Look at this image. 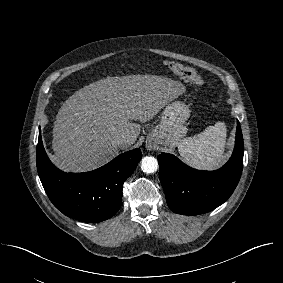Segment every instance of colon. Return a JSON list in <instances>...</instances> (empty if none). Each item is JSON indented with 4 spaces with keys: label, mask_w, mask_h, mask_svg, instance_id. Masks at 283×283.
Masks as SVG:
<instances>
[{
    "label": "colon",
    "mask_w": 283,
    "mask_h": 283,
    "mask_svg": "<svg viewBox=\"0 0 283 283\" xmlns=\"http://www.w3.org/2000/svg\"><path fill=\"white\" fill-rule=\"evenodd\" d=\"M165 65L171 71L192 84L196 89H201L204 86V79L193 68L174 61H167Z\"/></svg>",
    "instance_id": "obj_1"
}]
</instances>
